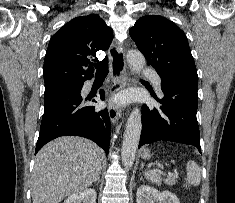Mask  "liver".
Instances as JSON below:
<instances>
[{"instance_id": "liver-1", "label": "liver", "mask_w": 235, "mask_h": 203, "mask_svg": "<svg viewBox=\"0 0 235 203\" xmlns=\"http://www.w3.org/2000/svg\"><path fill=\"white\" fill-rule=\"evenodd\" d=\"M102 149L94 142L63 136L36 155L31 194L33 203H59L89 187L101 173Z\"/></svg>"}]
</instances>
